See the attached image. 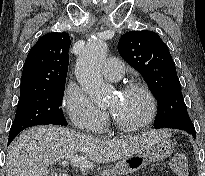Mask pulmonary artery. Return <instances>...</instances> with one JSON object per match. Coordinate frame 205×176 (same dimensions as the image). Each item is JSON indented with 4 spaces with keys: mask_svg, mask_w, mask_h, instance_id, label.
Here are the masks:
<instances>
[{
    "mask_svg": "<svg viewBox=\"0 0 205 176\" xmlns=\"http://www.w3.org/2000/svg\"><path fill=\"white\" fill-rule=\"evenodd\" d=\"M103 76L110 81H117L124 75V65L116 57H109L102 66Z\"/></svg>",
    "mask_w": 205,
    "mask_h": 176,
    "instance_id": "obj_1",
    "label": "pulmonary artery"
}]
</instances>
